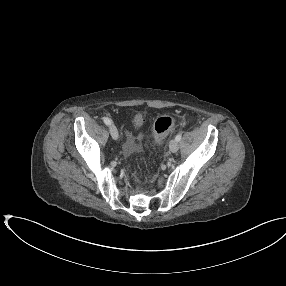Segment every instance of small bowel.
I'll use <instances>...</instances> for the list:
<instances>
[{"instance_id":"c3829d8e","label":"small bowel","mask_w":286,"mask_h":286,"mask_svg":"<svg viewBox=\"0 0 286 286\" xmlns=\"http://www.w3.org/2000/svg\"><path fill=\"white\" fill-rule=\"evenodd\" d=\"M128 137H129V139H130V138H132V136H131V135H128Z\"/></svg>"}]
</instances>
